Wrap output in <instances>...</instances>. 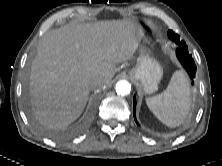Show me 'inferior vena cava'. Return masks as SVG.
Here are the masks:
<instances>
[{
  "instance_id": "1",
  "label": "inferior vena cava",
  "mask_w": 222,
  "mask_h": 166,
  "mask_svg": "<svg viewBox=\"0 0 222 166\" xmlns=\"http://www.w3.org/2000/svg\"><path fill=\"white\" fill-rule=\"evenodd\" d=\"M105 87V83L103 81H96L93 85L95 90H101Z\"/></svg>"
}]
</instances>
